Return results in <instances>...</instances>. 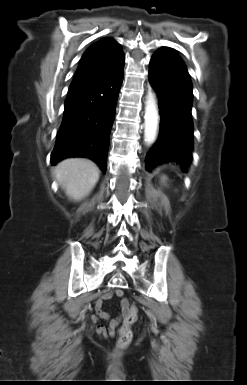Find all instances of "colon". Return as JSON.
<instances>
[{
  "label": "colon",
  "mask_w": 247,
  "mask_h": 385,
  "mask_svg": "<svg viewBox=\"0 0 247 385\" xmlns=\"http://www.w3.org/2000/svg\"><path fill=\"white\" fill-rule=\"evenodd\" d=\"M125 310L126 316L119 330V348H125L131 342L133 336L131 326L136 322L139 314L138 306L135 304H132L130 306L127 305Z\"/></svg>",
  "instance_id": "colon-1"
}]
</instances>
